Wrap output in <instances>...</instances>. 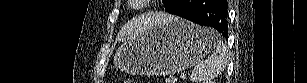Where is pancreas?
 <instances>
[{"mask_svg": "<svg viewBox=\"0 0 307 83\" xmlns=\"http://www.w3.org/2000/svg\"><path fill=\"white\" fill-rule=\"evenodd\" d=\"M171 83H176V80H172V81H170Z\"/></svg>", "mask_w": 307, "mask_h": 83, "instance_id": "pancreas-1", "label": "pancreas"}]
</instances>
